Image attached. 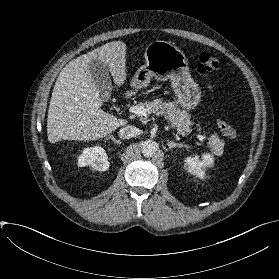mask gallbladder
Segmentation results:
<instances>
[{"label": "gallbladder", "instance_id": "obj_1", "mask_svg": "<svg viewBox=\"0 0 279 279\" xmlns=\"http://www.w3.org/2000/svg\"><path fill=\"white\" fill-rule=\"evenodd\" d=\"M90 72L99 94L102 96L104 101L110 100L112 84L106 66L100 59H93L90 63Z\"/></svg>", "mask_w": 279, "mask_h": 279}]
</instances>
